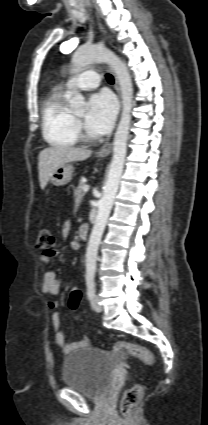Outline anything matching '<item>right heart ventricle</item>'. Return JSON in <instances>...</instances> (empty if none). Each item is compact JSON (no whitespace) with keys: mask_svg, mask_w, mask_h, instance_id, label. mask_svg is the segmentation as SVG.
<instances>
[{"mask_svg":"<svg viewBox=\"0 0 208 425\" xmlns=\"http://www.w3.org/2000/svg\"><path fill=\"white\" fill-rule=\"evenodd\" d=\"M42 133L55 147H73L77 144L74 117L66 105V92L53 90L42 103Z\"/></svg>","mask_w":208,"mask_h":425,"instance_id":"1","label":"right heart ventricle"}]
</instances>
